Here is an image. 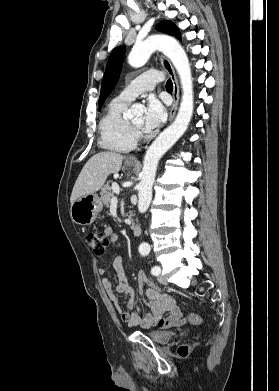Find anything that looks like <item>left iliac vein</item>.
I'll return each instance as SVG.
<instances>
[{
    "instance_id": "1",
    "label": "left iliac vein",
    "mask_w": 279,
    "mask_h": 391,
    "mask_svg": "<svg viewBox=\"0 0 279 391\" xmlns=\"http://www.w3.org/2000/svg\"><path fill=\"white\" fill-rule=\"evenodd\" d=\"M158 281L162 284V285H166L167 284V280L164 278V276L162 275H159L158 276Z\"/></svg>"
}]
</instances>
